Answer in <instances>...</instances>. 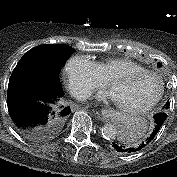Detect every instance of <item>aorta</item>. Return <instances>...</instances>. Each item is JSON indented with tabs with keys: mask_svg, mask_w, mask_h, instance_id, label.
I'll list each match as a JSON object with an SVG mask.
<instances>
[{
	"mask_svg": "<svg viewBox=\"0 0 177 177\" xmlns=\"http://www.w3.org/2000/svg\"><path fill=\"white\" fill-rule=\"evenodd\" d=\"M102 135L107 140H114L117 136V128L114 124L107 123L101 128Z\"/></svg>",
	"mask_w": 177,
	"mask_h": 177,
	"instance_id": "1",
	"label": "aorta"
}]
</instances>
